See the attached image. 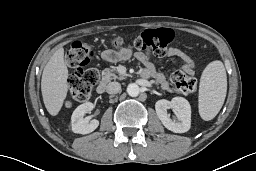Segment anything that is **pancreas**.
Instances as JSON below:
<instances>
[{
	"label": "pancreas",
	"instance_id": "cf45deb5",
	"mask_svg": "<svg viewBox=\"0 0 256 171\" xmlns=\"http://www.w3.org/2000/svg\"><path fill=\"white\" fill-rule=\"evenodd\" d=\"M126 75H117L114 69L106 68L102 71V82L107 83L111 80H122L125 79Z\"/></svg>",
	"mask_w": 256,
	"mask_h": 171
}]
</instances>
